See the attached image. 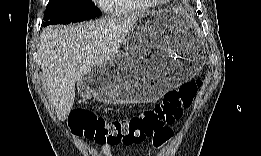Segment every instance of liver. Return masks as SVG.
<instances>
[{
	"label": "liver",
	"mask_w": 261,
	"mask_h": 156,
	"mask_svg": "<svg viewBox=\"0 0 261 156\" xmlns=\"http://www.w3.org/2000/svg\"><path fill=\"white\" fill-rule=\"evenodd\" d=\"M140 14L112 15L77 25L49 26L40 34L41 69L49 101L65 121L75 100V85L89 71L109 61Z\"/></svg>",
	"instance_id": "6515ba94"
}]
</instances>
